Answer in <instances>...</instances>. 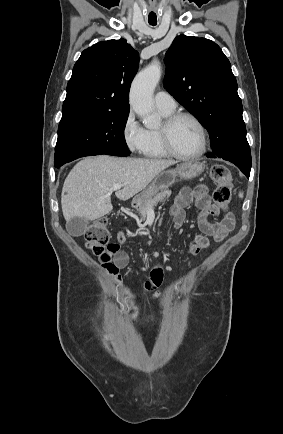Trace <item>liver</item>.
Here are the masks:
<instances>
[{
    "label": "liver",
    "instance_id": "obj_1",
    "mask_svg": "<svg viewBox=\"0 0 283 434\" xmlns=\"http://www.w3.org/2000/svg\"><path fill=\"white\" fill-rule=\"evenodd\" d=\"M174 164L173 160L109 155L84 158L72 168L63 185L61 205L66 222L74 217L96 220L109 214L113 209L110 192L113 185H123L115 195L126 201Z\"/></svg>",
    "mask_w": 283,
    "mask_h": 434
}]
</instances>
